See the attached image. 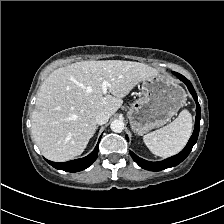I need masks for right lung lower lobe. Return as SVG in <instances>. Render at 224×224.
I'll return each mask as SVG.
<instances>
[{
	"instance_id": "right-lung-lower-lobe-1",
	"label": "right lung lower lobe",
	"mask_w": 224,
	"mask_h": 224,
	"mask_svg": "<svg viewBox=\"0 0 224 224\" xmlns=\"http://www.w3.org/2000/svg\"><path fill=\"white\" fill-rule=\"evenodd\" d=\"M98 144L91 154L81 159H76V160L62 162V163L52 162L49 160H46V161L56 169H60V170L68 171V172L82 171L88 168L96 160L98 156Z\"/></svg>"
}]
</instances>
